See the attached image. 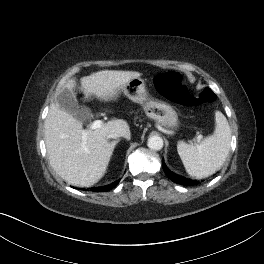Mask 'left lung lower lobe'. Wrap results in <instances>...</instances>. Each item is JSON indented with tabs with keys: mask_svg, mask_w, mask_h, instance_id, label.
<instances>
[{
	"mask_svg": "<svg viewBox=\"0 0 264 264\" xmlns=\"http://www.w3.org/2000/svg\"><path fill=\"white\" fill-rule=\"evenodd\" d=\"M162 165H163V169L166 173V175L173 181L176 182L178 184L181 185H185V186H191V185H196L199 183V181L196 180H191L188 178H185L183 176H180L178 174H175L174 172H171L165 165L164 160H162Z\"/></svg>",
	"mask_w": 264,
	"mask_h": 264,
	"instance_id": "left-lung-lower-lobe-1",
	"label": "left lung lower lobe"
}]
</instances>
